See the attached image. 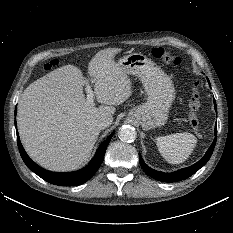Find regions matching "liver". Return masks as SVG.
<instances>
[{"mask_svg":"<svg viewBox=\"0 0 233 233\" xmlns=\"http://www.w3.org/2000/svg\"><path fill=\"white\" fill-rule=\"evenodd\" d=\"M119 52L118 48L100 50L89 62L99 107L87 104L86 78L74 65L57 68L24 90L18 102L19 135L28 155L40 166L72 171L89 159L101 130L96 121L112 117L114 106L132 93L127 72L114 61Z\"/></svg>","mask_w":233,"mask_h":233,"instance_id":"liver-1","label":"liver"}]
</instances>
